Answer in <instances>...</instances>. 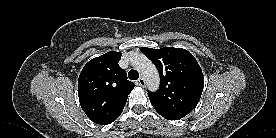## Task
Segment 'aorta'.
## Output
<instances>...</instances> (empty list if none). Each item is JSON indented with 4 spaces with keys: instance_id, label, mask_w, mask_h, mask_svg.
Listing matches in <instances>:
<instances>
[{
    "instance_id": "obj_1",
    "label": "aorta",
    "mask_w": 276,
    "mask_h": 138,
    "mask_svg": "<svg viewBox=\"0 0 276 138\" xmlns=\"http://www.w3.org/2000/svg\"><path fill=\"white\" fill-rule=\"evenodd\" d=\"M135 69L143 76L150 91H156L160 85V77L156 66L143 54H135L132 58Z\"/></svg>"
}]
</instances>
